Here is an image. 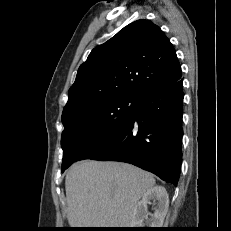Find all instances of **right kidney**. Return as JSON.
<instances>
[{
	"label": "right kidney",
	"instance_id": "right-kidney-1",
	"mask_svg": "<svg viewBox=\"0 0 231 231\" xmlns=\"http://www.w3.org/2000/svg\"><path fill=\"white\" fill-rule=\"evenodd\" d=\"M153 201L156 205L155 212L151 219L148 220L147 204ZM169 207V196L163 186H154L149 189L143 196L142 200L137 203L132 214L131 227L143 228L145 221L149 228H161L164 218Z\"/></svg>",
	"mask_w": 231,
	"mask_h": 231
}]
</instances>
